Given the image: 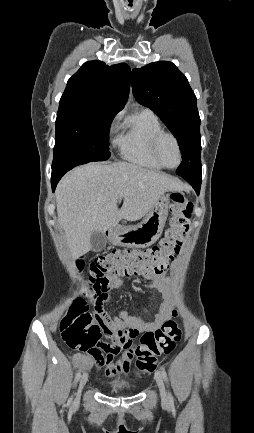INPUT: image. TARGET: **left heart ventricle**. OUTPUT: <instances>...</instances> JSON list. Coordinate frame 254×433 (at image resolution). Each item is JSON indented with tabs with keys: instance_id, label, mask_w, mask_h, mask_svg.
<instances>
[{
	"instance_id": "obj_1",
	"label": "left heart ventricle",
	"mask_w": 254,
	"mask_h": 433,
	"mask_svg": "<svg viewBox=\"0 0 254 433\" xmlns=\"http://www.w3.org/2000/svg\"><path fill=\"white\" fill-rule=\"evenodd\" d=\"M158 154L162 162L167 166H175L178 163L179 156L174 141L164 136L158 145Z\"/></svg>"
}]
</instances>
